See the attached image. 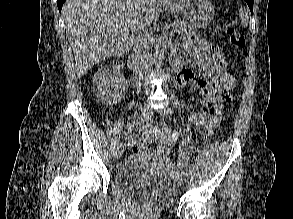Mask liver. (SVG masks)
I'll return each instance as SVG.
<instances>
[{"label":"liver","mask_w":293,"mask_h":219,"mask_svg":"<svg viewBox=\"0 0 293 219\" xmlns=\"http://www.w3.org/2000/svg\"><path fill=\"white\" fill-rule=\"evenodd\" d=\"M62 15L81 78L96 63L128 54L137 26L148 30L156 17V1L66 0Z\"/></svg>","instance_id":"1"}]
</instances>
